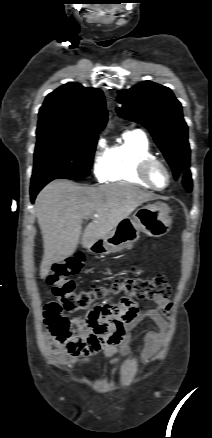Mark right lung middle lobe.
<instances>
[{
    "instance_id": "1",
    "label": "right lung middle lobe",
    "mask_w": 212,
    "mask_h": 438,
    "mask_svg": "<svg viewBox=\"0 0 212 438\" xmlns=\"http://www.w3.org/2000/svg\"><path fill=\"white\" fill-rule=\"evenodd\" d=\"M98 134L58 130L37 133L32 180L56 177L79 179L89 175Z\"/></svg>"
}]
</instances>
